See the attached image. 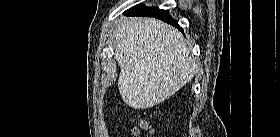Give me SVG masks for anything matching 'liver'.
<instances>
[{
	"instance_id": "6515ba94",
	"label": "liver",
	"mask_w": 280,
	"mask_h": 137,
	"mask_svg": "<svg viewBox=\"0 0 280 137\" xmlns=\"http://www.w3.org/2000/svg\"><path fill=\"white\" fill-rule=\"evenodd\" d=\"M114 35L118 89L134 109L165 101L196 73V61L182 34L157 19L123 17Z\"/></svg>"
}]
</instances>
